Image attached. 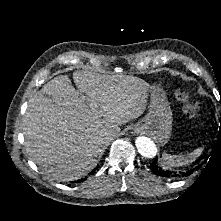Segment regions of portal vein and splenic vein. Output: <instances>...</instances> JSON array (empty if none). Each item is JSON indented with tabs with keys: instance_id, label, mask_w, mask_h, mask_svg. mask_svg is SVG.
Instances as JSON below:
<instances>
[{
	"instance_id": "1",
	"label": "portal vein and splenic vein",
	"mask_w": 221,
	"mask_h": 221,
	"mask_svg": "<svg viewBox=\"0 0 221 221\" xmlns=\"http://www.w3.org/2000/svg\"><path fill=\"white\" fill-rule=\"evenodd\" d=\"M91 110H92V111H95V109H94V108H92Z\"/></svg>"
}]
</instances>
